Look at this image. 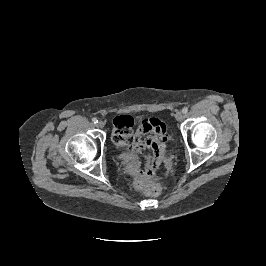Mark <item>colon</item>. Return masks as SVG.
<instances>
[{
  "label": "colon",
  "instance_id": "1",
  "mask_svg": "<svg viewBox=\"0 0 266 266\" xmlns=\"http://www.w3.org/2000/svg\"><path fill=\"white\" fill-rule=\"evenodd\" d=\"M134 187L147 196L156 197L162 193L159 184L148 181L145 177H137L134 181Z\"/></svg>",
  "mask_w": 266,
  "mask_h": 266
}]
</instances>
